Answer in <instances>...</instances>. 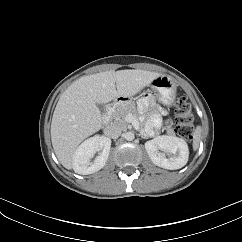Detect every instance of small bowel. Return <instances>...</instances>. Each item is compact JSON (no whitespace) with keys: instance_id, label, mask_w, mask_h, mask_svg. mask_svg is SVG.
<instances>
[{"instance_id":"small-bowel-1","label":"small bowel","mask_w":242,"mask_h":242,"mask_svg":"<svg viewBox=\"0 0 242 242\" xmlns=\"http://www.w3.org/2000/svg\"><path fill=\"white\" fill-rule=\"evenodd\" d=\"M140 111L145 113L147 111V104L143 102L140 105ZM166 114L164 110H158L153 112L148 117L147 129L150 133H155L161 127V115Z\"/></svg>"}]
</instances>
